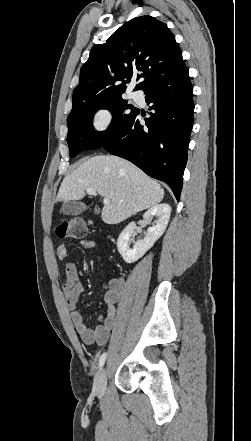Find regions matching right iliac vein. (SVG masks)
I'll return each mask as SVG.
<instances>
[{
	"instance_id": "1",
	"label": "right iliac vein",
	"mask_w": 251,
	"mask_h": 441,
	"mask_svg": "<svg viewBox=\"0 0 251 441\" xmlns=\"http://www.w3.org/2000/svg\"><path fill=\"white\" fill-rule=\"evenodd\" d=\"M107 370L102 368L94 380L93 390L98 397H102L106 388Z\"/></svg>"
}]
</instances>
